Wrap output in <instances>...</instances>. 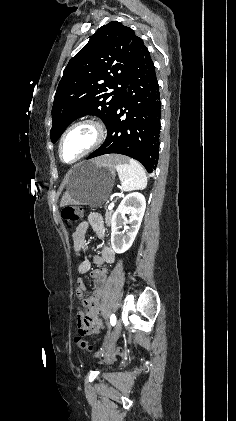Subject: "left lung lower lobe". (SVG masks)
<instances>
[{
	"label": "left lung lower lobe",
	"mask_w": 236,
	"mask_h": 421,
	"mask_svg": "<svg viewBox=\"0 0 236 421\" xmlns=\"http://www.w3.org/2000/svg\"><path fill=\"white\" fill-rule=\"evenodd\" d=\"M160 118L155 67L143 44L123 85L118 105L106 124L107 138L87 159L110 153L123 154L141 162L151 173L159 157Z\"/></svg>",
	"instance_id": "obj_1"
}]
</instances>
